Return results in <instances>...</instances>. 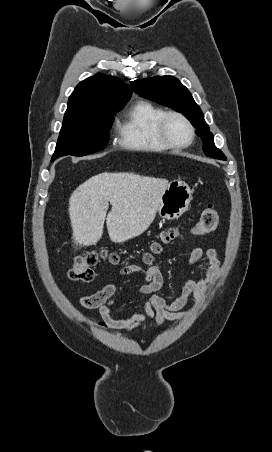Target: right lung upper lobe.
Wrapping results in <instances>:
<instances>
[{
	"mask_svg": "<svg viewBox=\"0 0 272 452\" xmlns=\"http://www.w3.org/2000/svg\"><path fill=\"white\" fill-rule=\"evenodd\" d=\"M131 95L130 87L122 80L97 74L76 86L69 97L64 119L89 116L104 108L127 103Z\"/></svg>",
	"mask_w": 272,
	"mask_h": 452,
	"instance_id": "right-lung-upper-lobe-1",
	"label": "right lung upper lobe"
}]
</instances>
